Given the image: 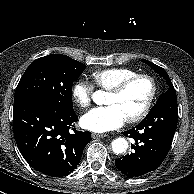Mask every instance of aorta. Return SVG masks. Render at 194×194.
I'll return each mask as SVG.
<instances>
[{"mask_svg":"<svg viewBox=\"0 0 194 194\" xmlns=\"http://www.w3.org/2000/svg\"><path fill=\"white\" fill-rule=\"evenodd\" d=\"M103 98V92L102 91H97L93 95V100L97 104H101V100ZM111 147L114 153L116 154H121L124 153L127 148H128V142L125 138H116L115 140L112 141Z\"/></svg>","mask_w":194,"mask_h":194,"instance_id":"obj_1","label":"aorta"}]
</instances>
